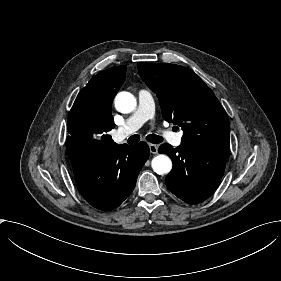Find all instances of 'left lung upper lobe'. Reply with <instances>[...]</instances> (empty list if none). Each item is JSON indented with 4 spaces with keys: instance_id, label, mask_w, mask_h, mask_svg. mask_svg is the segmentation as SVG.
<instances>
[{
    "instance_id": "left-lung-upper-lobe-1",
    "label": "left lung upper lobe",
    "mask_w": 281,
    "mask_h": 281,
    "mask_svg": "<svg viewBox=\"0 0 281 281\" xmlns=\"http://www.w3.org/2000/svg\"><path fill=\"white\" fill-rule=\"evenodd\" d=\"M158 96L163 118L183 130L182 145L228 146V116L213 91L192 70L174 64L137 63Z\"/></svg>"
}]
</instances>
